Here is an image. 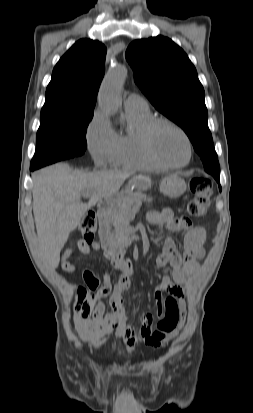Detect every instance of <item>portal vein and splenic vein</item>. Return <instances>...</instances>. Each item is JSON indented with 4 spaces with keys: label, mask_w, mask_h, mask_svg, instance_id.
Instances as JSON below:
<instances>
[{
    "label": "portal vein and splenic vein",
    "mask_w": 253,
    "mask_h": 413,
    "mask_svg": "<svg viewBox=\"0 0 253 413\" xmlns=\"http://www.w3.org/2000/svg\"><path fill=\"white\" fill-rule=\"evenodd\" d=\"M90 195H91V192H90V191H85V192L83 193V196H84L85 198L90 197Z\"/></svg>",
    "instance_id": "18ae733b"
}]
</instances>
